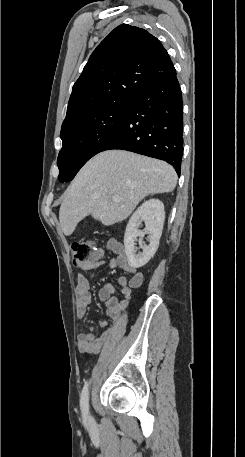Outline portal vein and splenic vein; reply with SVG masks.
I'll return each instance as SVG.
<instances>
[{
	"instance_id": "1",
	"label": "portal vein and splenic vein",
	"mask_w": 245,
	"mask_h": 457,
	"mask_svg": "<svg viewBox=\"0 0 245 457\" xmlns=\"http://www.w3.org/2000/svg\"><path fill=\"white\" fill-rule=\"evenodd\" d=\"M113 200H114V202H119L120 198H119V196H113Z\"/></svg>"
}]
</instances>
